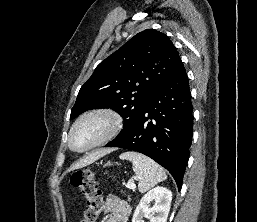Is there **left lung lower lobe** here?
<instances>
[{"label": "left lung lower lobe", "mask_w": 257, "mask_h": 222, "mask_svg": "<svg viewBox=\"0 0 257 222\" xmlns=\"http://www.w3.org/2000/svg\"><path fill=\"white\" fill-rule=\"evenodd\" d=\"M193 136L192 102L183 63L152 94L137 119L105 147L140 152L166 168L178 190Z\"/></svg>", "instance_id": "left-lung-lower-lobe-1"}]
</instances>
